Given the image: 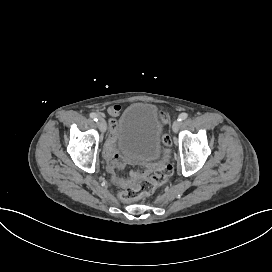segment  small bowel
<instances>
[{
  "mask_svg": "<svg viewBox=\"0 0 272 272\" xmlns=\"http://www.w3.org/2000/svg\"><path fill=\"white\" fill-rule=\"evenodd\" d=\"M121 110V107L119 105H114L111 106L107 109V113L109 115V120H108V124H109V130H110V136L106 142L105 145V150H104V158L106 159V169L108 171V161L112 158V157H121L122 159H125L127 162L128 160L120 155L117 150H116V142H117V137H118V132H119V124L116 120V117L119 115ZM109 172V171H108Z\"/></svg>",
  "mask_w": 272,
  "mask_h": 272,
  "instance_id": "small-bowel-1",
  "label": "small bowel"
}]
</instances>
